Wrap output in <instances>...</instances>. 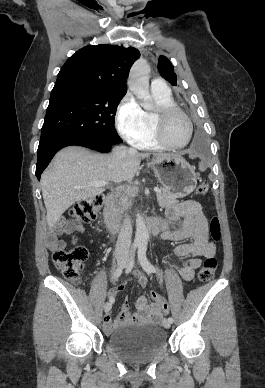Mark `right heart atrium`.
Returning <instances> with one entry per match:
<instances>
[{
    "label": "right heart atrium",
    "instance_id": "obj_1",
    "mask_svg": "<svg viewBox=\"0 0 265 388\" xmlns=\"http://www.w3.org/2000/svg\"><path fill=\"white\" fill-rule=\"evenodd\" d=\"M117 122L122 136L134 141L147 129L145 111L131 94L126 95L121 101L117 111Z\"/></svg>",
    "mask_w": 265,
    "mask_h": 388
}]
</instances>
